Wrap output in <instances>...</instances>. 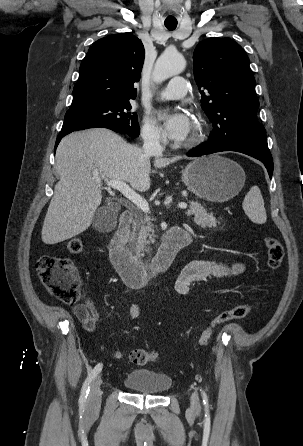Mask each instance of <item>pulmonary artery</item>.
Instances as JSON below:
<instances>
[{
  "mask_svg": "<svg viewBox=\"0 0 303 446\" xmlns=\"http://www.w3.org/2000/svg\"><path fill=\"white\" fill-rule=\"evenodd\" d=\"M187 92V82L185 78L173 77L160 92L161 100H177L185 96Z\"/></svg>",
  "mask_w": 303,
  "mask_h": 446,
  "instance_id": "pulmonary-artery-1",
  "label": "pulmonary artery"
}]
</instances>
